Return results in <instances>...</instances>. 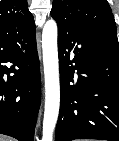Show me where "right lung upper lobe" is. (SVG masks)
I'll return each mask as SVG.
<instances>
[{"instance_id":"right-lung-upper-lobe-1","label":"right lung upper lobe","mask_w":119,"mask_h":141,"mask_svg":"<svg viewBox=\"0 0 119 141\" xmlns=\"http://www.w3.org/2000/svg\"><path fill=\"white\" fill-rule=\"evenodd\" d=\"M33 19L27 0L0 1V32Z\"/></svg>"}]
</instances>
